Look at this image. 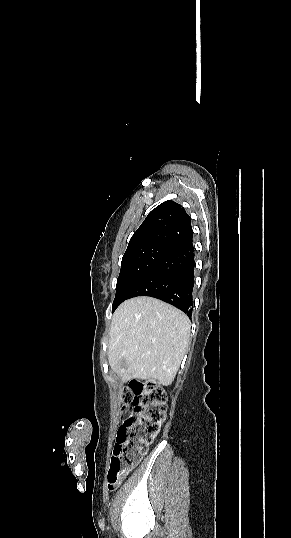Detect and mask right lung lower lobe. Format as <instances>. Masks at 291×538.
Instances as JSON below:
<instances>
[{"label": "right lung lower lobe", "instance_id": "right-lung-lower-lobe-1", "mask_svg": "<svg viewBox=\"0 0 291 538\" xmlns=\"http://www.w3.org/2000/svg\"><path fill=\"white\" fill-rule=\"evenodd\" d=\"M194 268V246L191 238L171 249L138 283L129 298L155 297L191 317Z\"/></svg>", "mask_w": 291, "mask_h": 538}]
</instances>
